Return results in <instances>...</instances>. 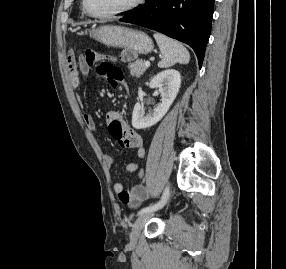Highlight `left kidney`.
<instances>
[{
  "label": "left kidney",
  "instance_id": "5707ae66",
  "mask_svg": "<svg viewBox=\"0 0 286 269\" xmlns=\"http://www.w3.org/2000/svg\"><path fill=\"white\" fill-rule=\"evenodd\" d=\"M149 86L159 90L161 103L146 115L140 104H135L132 113V126L136 129L151 127L163 118L179 92L181 75L175 69L162 71L150 81Z\"/></svg>",
  "mask_w": 286,
  "mask_h": 269
}]
</instances>
